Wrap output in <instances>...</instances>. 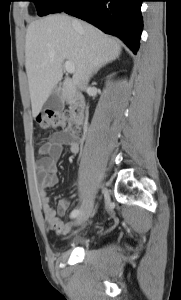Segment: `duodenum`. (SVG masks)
<instances>
[{
  "instance_id": "410a0bca",
  "label": "duodenum",
  "mask_w": 181,
  "mask_h": 300,
  "mask_svg": "<svg viewBox=\"0 0 181 300\" xmlns=\"http://www.w3.org/2000/svg\"><path fill=\"white\" fill-rule=\"evenodd\" d=\"M87 106L79 94H74L70 101V113L73 122L77 125H81L86 117Z\"/></svg>"
}]
</instances>
